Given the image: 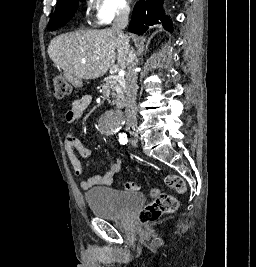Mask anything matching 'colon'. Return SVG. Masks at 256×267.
Listing matches in <instances>:
<instances>
[{
    "label": "colon",
    "mask_w": 256,
    "mask_h": 267,
    "mask_svg": "<svg viewBox=\"0 0 256 267\" xmlns=\"http://www.w3.org/2000/svg\"><path fill=\"white\" fill-rule=\"evenodd\" d=\"M55 95L58 98H65L71 95V84L66 81L65 77H55ZM165 183L177 194H185L186 184L184 180L175 175H167L164 178ZM123 188L127 191L137 192L139 185L136 182H123ZM159 188H152L150 195H158ZM159 196V195H158ZM158 200H153L147 204L138 213V224H141V228H148L150 222L157 221L161 216L172 214L178 209V199L175 195H162L157 197Z\"/></svg>",
    "instance_id": "5ec220e1"
}]
</instances>
